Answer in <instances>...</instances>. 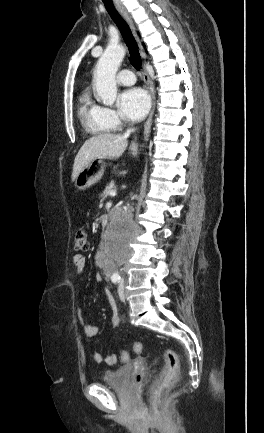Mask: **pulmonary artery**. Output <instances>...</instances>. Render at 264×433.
<instances>
[{
	"instance_id": "obj_1",
	"label": "pulmonary artery",
	"mask_w": 264,
	"mask_h": 433,
	"mask_svg": "<svg viewBox=\"0 0 264 433\" xmlns=\"http://www.w3.org/2000/svg\"><path fill=\"white\" fill-rule=\"evenodd\" d=\"M134 73L130 69H123L117 75V82L120 85L130 86L135 83Z\"/></svg>"
}]
</instances>
